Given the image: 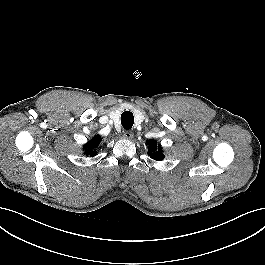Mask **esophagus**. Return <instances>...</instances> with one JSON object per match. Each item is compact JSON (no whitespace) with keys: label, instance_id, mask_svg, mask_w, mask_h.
Here are the masks:
<instances>
[{"label":"esophagus","instance_id":"34e87169","mask_svg":"<svg viewBox=\"0 0 265 265\" xmlns=\"http://www.w3.org/2000/svg\"><path fill=\"white\" fill-rule=\"evenodd\" d=\"M123 137H124L125 139H132V138H133V132L130 131V130H127V131H125V132L123 133Z\"/></svg>","mask_w":265,"mask_h":265}]
</instances>
